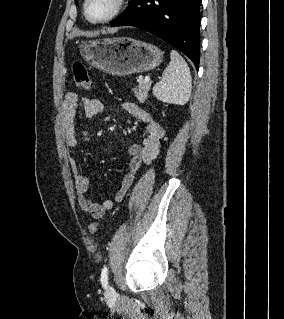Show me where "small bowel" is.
Instances as JSON below:
<instances>
[{
  "instance_id": "obj_1",
  "label": "small bowel",
  "mask_w": 284,
  "mask_h": 319,
  "mask_svg": "<svg viewBox=\"0 0 284 319\" xmlns=\"http://www.w3.org/2000/svg\"><path fill=\"white\" fill-rule=\"evenodd\" d=\"M79 106L82 107L87 117L98 115L104 109L102 102L98 99H80L74 92H68L65 95L61 106V122L66 144L70 147L78 145L75 118ZM123 108L131 116L144 123L145 136L141 143L131 144L127 148L129 156L127 171L123 176L121 186L115 193L116 202L123 200L140 168L143 165L150 164L156 158L160 150L161 140L164 137L163 127L145 110L133 103H124ZM71 169L81 210L94 219H101L106 212L112 210L114 202L110 199H104L102 202L92 200L88 196L90 178L79 172L75 161L71 162Z\"/></svg>"
}]
</instances>
